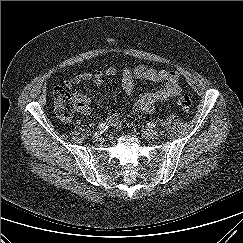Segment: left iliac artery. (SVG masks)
<instances>
[{
	"label": "left iliac artery",
	"mask_w": 243,
	"mask_h": 243,
	"mask_svg": "<svg viewBox=\"0 0 243 243\" xmlns=\"http://www.w3.org/2000/svg\"><path fill=\"white\" fill-rule=\"evenodd\" d=\"M147 125L150 129L155 128V124L153 122H149Z\"/></svg>",
	"instance_id": "44dca946"
}]
</instances>
